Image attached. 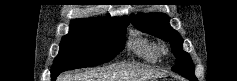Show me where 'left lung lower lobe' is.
Instances as JSON below:
<instances>
[{"label": "left lung lower lobe", "instance_id": "obj_1", "mask_svg": "<svg viewBox=\"0 0 237 81\" xmlns=\"http://www.w3.org/2000/svg\"><path fill=\"white\" fill-rule=\"evenodd\" d=\"M187 79H189V80H191V81H195V80H193L192 78L190 79V78H187Z\"/></svg>", "mask_w": 237, "mask_h": 81}]
</instances>
